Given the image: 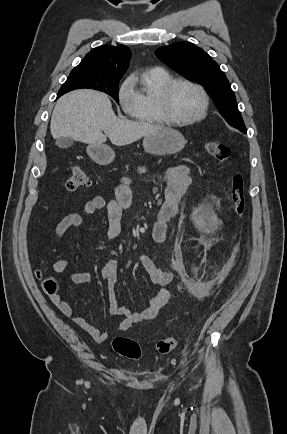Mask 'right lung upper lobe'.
Returning <instances> with one entry per match:
<instances>
[{"label":"right lung upper lobe","instance_id":"cb5924a9","mask_svg":"<svg viewBox=\"0 0 287 434\" xmlns=\"http://www.w3.org/2000/svg\"><path fill=\"white\" fill-rule=\"evenodd\" d=\"M130 50L125 45H103L92 49L71 73L121 78L129 67Z\"/></svg>","mask_w":287,"mask_h":434}]
</instances>
